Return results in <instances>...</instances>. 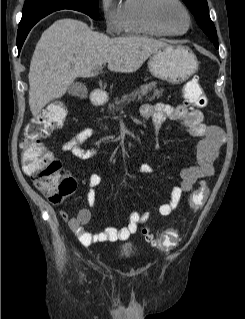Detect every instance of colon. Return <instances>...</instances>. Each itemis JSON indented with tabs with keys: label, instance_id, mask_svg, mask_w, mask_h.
<instances>
[{
	"label": "colon",
	"instance_id": "obj_1",
	"mask_svg": "<svg viewBox=\"0 0 245 319\" xmlns=\"http://www.w3.org/2000/svg\"><path fill=\"white\" fill-rule=\"evenodd\" d=\"M183 95L186 104L195 107H205L207 97L199 84L198 77H192L184 84ZM67 106L61 102L51 103L40 115L27 125L24 139L21 142L22 165L24 172L31 177L35 186L55 204L71 195L76 187L75 180L66 175L59 159L52 155L41 140L61 128L67 118ZM209 194L206 181H202L190 196L193 208H201ZM146 239L156 248L173 249L178 240L174 230L152 234L143 230Z\"/></svg>",
	"mask_w": 245,
	"mask_h": 319
}]
</instances>
